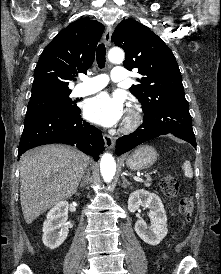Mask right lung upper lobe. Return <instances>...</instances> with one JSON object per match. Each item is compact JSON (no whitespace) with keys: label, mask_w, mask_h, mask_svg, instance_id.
Instances as JSON below:
<instances>
[{"label":"right lung upper lobe","mask_w":221,"mask_h":274,"mask_svg":"<svg viewBox=\"0 0 221 274\" xmlns=\"http://www.w3.org/2000/svg\"><path fill=\"white\" fill-rule=\"evenodd\" d=\"M103 31L104 25L89 18L78 19L61 30L37 62L30 100L71 93L69 81L79 72L87 73Z\"/></svg>","instance_id":"1"}]
</instances>
